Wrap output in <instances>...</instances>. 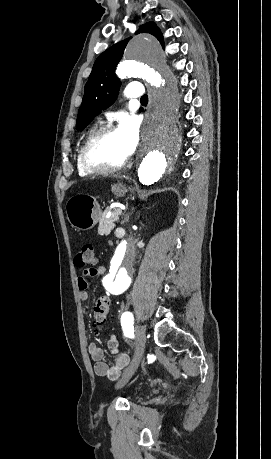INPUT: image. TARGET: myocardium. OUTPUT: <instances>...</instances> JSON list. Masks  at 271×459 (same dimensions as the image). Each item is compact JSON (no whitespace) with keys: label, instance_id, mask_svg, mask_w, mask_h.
Instances as JSON below:
<instances>
[{"label":"myocardium","instance_id":"f54148a6","mask_svg":"<svg viewBox=\"0 0 271 459\" xmlns=\"http://www.w3.org/2000/svg\"><path fill=\"white\" fill-rule=\"evenodd\" d=\"M117 126L114 123H109L97 128L92 134H90L83 142L80 150L81 161L83 165L91 171L103 172V171H114L122 168L125 163L130 159L131 154L118 159L111 160L103 157H96L93 149L95 144L110 136L117 130Z\"/></svg>","mask_w":271,"mask_h":459}]
</instances>
